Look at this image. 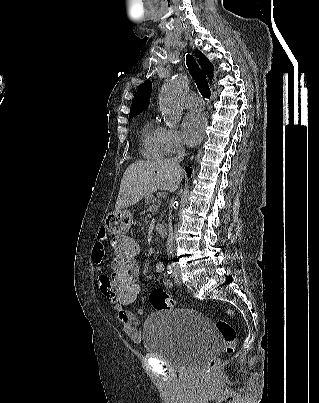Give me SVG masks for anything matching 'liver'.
Instances as JSON below:
<instances>
[{"label":"liver","instance_id":"6515ba94","mask_svg":"<svg viewBox=\"0 0 319 403\" xmlns=\"http://www.w3.org/2000/svg\"><path fill=\"white\" fill-rule=\"evenodd\" d=\"M182 178V169L172 166L169 159L135 161L124 172L115 208L135 205L158 189L176 190Z\"/></svg>","mask_w":319,"mask_h":403}]
</instances>
